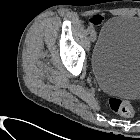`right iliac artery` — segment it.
<instances>
[{
  "instance_id": "1",
  "label": "right iliac artery",
  "mask_w": 140,
  "mask_h": 140,
  "mask_svg": "<svg viewBox=\"0 0 140 140\" xmlns=\"http://www.w3.org/2000/svg\"><path fill=\"white\" fill-rule=\"evenodd\" d=\"M88 31H89V33H90L91 31H93V27H92V26H89V27H88Z\"/></svg>"
}]
</instances>
